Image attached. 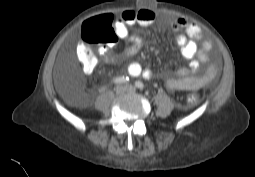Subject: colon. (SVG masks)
Instances as JSON below:
<instances>
[{"label":"colon","instance_id":"obj_1","mask_svg":"<svg viewBox=\"0 0 255 177\" xmlns=\"http://www.w3.org/2000/svg\"><path fill=\"white\" fill-rule=\"evenodd\" d=\"M81 39L84 44H82V47L78 50L79 59L81 63H84L87 67H92L94 65V59L89 53L88 45L98 44L106 47L112 46L116 42L117 36L111 28L109 19L103 15L89 19L83 23ZM189 98L193 102L198 100L197 95H191Z\"/></svg>","mask_w":255,"mask_h":177}]
</instances>
